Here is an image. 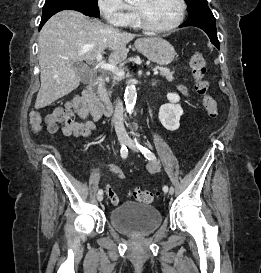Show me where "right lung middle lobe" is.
I'll use <instances>...</instances> for the list:
<instances>
[{
  "mask_svg": "<svg viewBox=\"0 0 261 273\" xmlns=\"http://www.w3.org/2000/svg\"><path fill=\"white\" fill-rule=\"evenodd\" d=\"M70 1H74V0H47L43 7L42 16H51L61 10L70 9V5H71ZM82 1L84 2L86 7L90 11L96 14H99L97 0H82Z\"/></svg>",
  "mask_w": 261,
  "mask_h": 273,
  "instance_id": "dd1d6c3e",
  "label": "right lung middle lobe"
}]
</instances>
